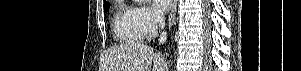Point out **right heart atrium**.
<instances>
[{
  "label": "right heart atrium",
  "mask_w": 301,
  "mask_h": 71,
  "mask_svg": "<svg viewBox=\"0 0 301 71\" xmlns=\"http://www.w3.org/2000/svg\"><path fill=\"white\" fill-rule=\"evenodd\" d=\"M139 29L144 37H153L162 25V17L148 6L134 9Z\"/></svg>",
  "instance_id": "right-heart-atrium-1"
}]
</instances>
